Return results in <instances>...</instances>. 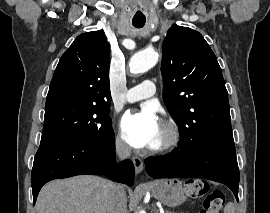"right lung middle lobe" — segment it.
I'll list each match as a JSON object with an SVG mask.
<instances>
[{
    "instance_id": "obj_1",
    "label": "right lung middle lobe",
    "mask_w": 270,
    "mask_h": 213,
    "mask_svg": "<svg viewBox=\"0 0 270 213\" xmlns=\"http://www.w3.org/2000/svg\"><path fill=\"white\" fill-rule=\"evenodd\" d=\"M108 105L61 103L46 107L41 141L102 139L113 132Z\"/></svg>"
}]
</instances>
